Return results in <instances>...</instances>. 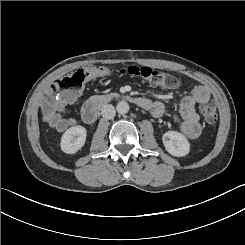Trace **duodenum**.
I'll return each mask as SVG.
<instances>
[{"instance_id":"1","label":"duodenum","mask_w":245,"mask_h":245,"mask_svg":"<svg viewBox=\"0 0 245 245\" xmlns=\"http://www.w3.org/2000/svg\"><path fill=\"white\" fill-rule=\"evenodd\" d=\"M129 100L135 105L145 109L150 110L153 106V103L146 98L134 97L127 95H99L90 99L82 108V119L87 124H92L96 121L100 115L101 110L110 102L114 100Z\"/></svg>"}]
</instances>
